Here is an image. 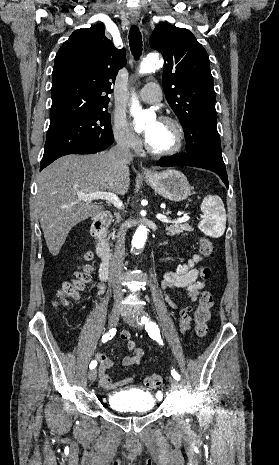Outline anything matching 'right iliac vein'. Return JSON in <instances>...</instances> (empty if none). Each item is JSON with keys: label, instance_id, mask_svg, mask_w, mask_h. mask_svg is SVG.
Instances as JSON below:
<instances>
[{"label": "right iliac vein", "instance_id": "obj_1", "mask_svg": "<svg viewBox=\"0 0 279 465\" xmlns=\"http://www.w3.org/2000/svg\"><path fill=\"white\" fill-rule=\"evenodd\" d=\"M119 315H120V312L118 309H114L110 316H109V320H108V325H109V328H113L117 325L118 321H119ZM97 378V370L95 368L93 369H90V371L88 372V379L91 383H93Z\"/></svg>", "mask_w": 279, "mask_h": 465}]
</instances>
